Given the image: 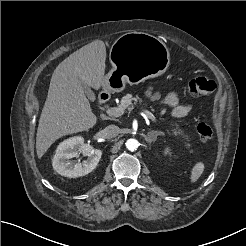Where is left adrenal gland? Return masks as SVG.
Returning <instances> with one entry per match:
<instances>
[{"label":"left adrenal gland","instance_id":"left-adrenal-gland-1","mask_svg":"<svg viewBox=\"0 0 246 246\" xmlns=\"http://www.w3.org/2000/svg\"><path fill=\"white\" fill-rule=\"evenodd\" d=\"M158 135H164V133H163V132L154 131V130L149 131V132H148V137L145 136V140H146L148 143H151V141H153V139H150L149 137H150V136H158Z\"/></svg>","mask_w":246,"mask_h":246}]
</instances>
